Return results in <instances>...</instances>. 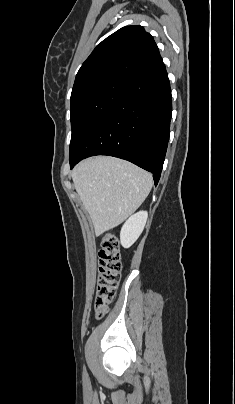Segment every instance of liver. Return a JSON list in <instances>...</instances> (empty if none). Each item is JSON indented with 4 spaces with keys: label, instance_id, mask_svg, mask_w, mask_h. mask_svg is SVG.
Masks as SVG:
<instances>
[{
    "label": "liver",
    "instance_id": "liver-1",
    "mask_svg": "<svg viewBox=\"0 0 235 404\" xmlns=\"http://www.w3.org/2000/svg\"><path fill=\"white\" fill-rule=\"evenodd\" d=\"M72 179L96 235L117 227L133 214L153 185L150 173L110 156L80 162L72 171Z\"/></svg>",
    "mask_w": 235,
    "mask_h": 404
}]
</instances>
